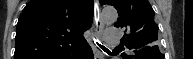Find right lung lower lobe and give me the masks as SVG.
<instances>
[{
  "label": "right lung lower lobe",
  "mask_w": 193,
  "mask_h": 59,
  "mask_svg": "<svg viewBox=\"0 0 193 59\" xmlns=\"http://www.w3.org/2000/svg\"><path fill=\"white\" fill-rule=\"evenodd\" d=\"M67 59H93V52L91 47L85 43L76 53Z\"/></svg>",
  "instance_id": "obj_1"
}]
</instances>
